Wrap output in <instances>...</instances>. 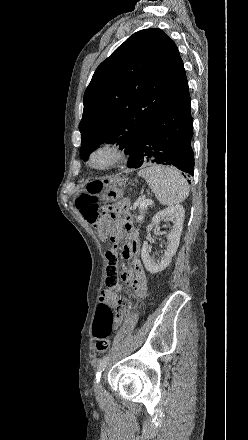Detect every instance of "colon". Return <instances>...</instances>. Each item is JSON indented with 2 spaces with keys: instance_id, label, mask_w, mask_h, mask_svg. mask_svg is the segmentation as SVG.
Returning <instances> with one entry per match:
<instances>
[{
  "instance_id": "1",
  "label": "colon",
  "mask_w": 248,
  "mask_h": 440,
  "mask_svg": "<svg viewBox=\"0 0 248 440\" xmlns=\"http://www.w3.org/2000/svg\"><path fill=\"white\" fill-rule=\"evenodd\" d=\"M101 189V182H90L87 186L88 192L77 198L76 207L82 216L95 226L100 237L109 240L111 249L106 253L108 263L110 257H117V250L120 244L112 221L108 217H105L104 211L96 203L95 195L100 192ZM114 319L115 317L110 306L104 302H99L93 325V334L96 338V350L98 354H104L109 349V337L114 325Z\"/></svg>"
}]
</instances>
